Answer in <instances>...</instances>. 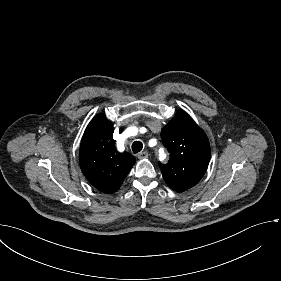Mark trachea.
I'll return each mask as SVG.
<instances>
[{
	"label": "trachea",
	"mask_w": 281,
	"mask_h": 281,
	"mask_svg": "<svg viewBox=\"0 0 281 281\" xmlns=\"http://www.w3.org/2000/svg\"><path fill=\"white\" fill-rule=\"evenodd\" d=\"M142 148H143L142 142H139V141L133 142L132 151L134 154L139 153L142 150Z\"/></svg>",
	"instance_id": "3493384b"
}]
</instances>
